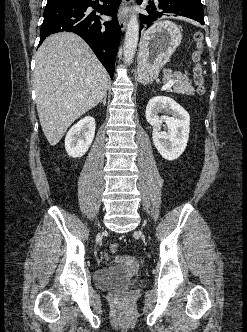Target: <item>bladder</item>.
I'll list each match as a JSON object with an SVG mask.
<instances>
[{
  "mask_svg": "<svg viewBox=\"0 0 247 332\" xmlns=\"http://www.w3.org/2000/svg\"><path fill=\"white\" fill-rule=\"evenodd\" d=\"M95 283L102 289H119L139 283L138 277L133 273V258L122 256L110 265L97 270Z\"/></svg>",
  "mask_w": 247,
  "mask_h": 332,
  "instance_id": "1",
  "label": "bladder"
}]
</instances>
